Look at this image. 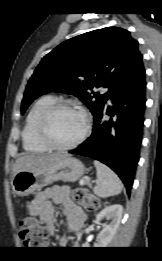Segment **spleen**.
Wrapping results in <instances>:
<instances>
[{
    "label": "spleen",
    "mask_w": 162,
    "mask_h": 261,
    "mask_svg": "<svg viewBox=\"0 0 162 261\" xmlns=\"http://www.w3.org/2000/svg\"><path fill=\"white\" fill-rule=\"evenodd\" d=\"M97 169V182L94 193L101 198L117 195L122 190V182L119 177L106 165L99 161H94Z\"/></svg>",
    "instance_id": "3e777b00"
}]
</instances>
